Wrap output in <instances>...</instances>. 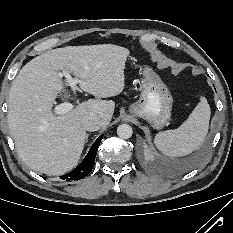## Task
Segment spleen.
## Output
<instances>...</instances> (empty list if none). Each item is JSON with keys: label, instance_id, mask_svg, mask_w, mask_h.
<instances>
[{"label": "spleen", "instance_id": "3e777b00", "mask_svg": "<svg viewBox=\"0 0 233 233\" xmlns=\"http://www.w3.org/2000/svg\"><path fill=\"white\" fill-rule=\"evenodd\" d=\"M210 106L205 97L194 108L187 120L174 130L156 134V147L167 156H184L197 149L204 141L209 127Z\"/></svg>", "mask_w": 233, "mask_h": 233}]
</instances>
